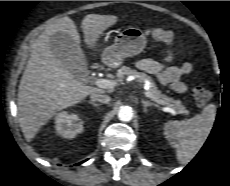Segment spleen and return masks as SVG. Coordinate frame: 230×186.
Listing matches in <instances>:
<instances>
[{"label":"spleen","instance_id":"obj_1","mask_svg":"<svg viewBox=\"0 0 230 186\" xmlns=\"http://www.w3.org/2000/svg\"><path fill=\"white\" fill-rule=\"evenodd\" d=\"M216 106L208 104L202 112L188 120H170L164 124L163 134L175 148L179 163H189L199 152L213 127Z\"/></svg>","mask_w":230,"mask_h":186}]
</instances>
